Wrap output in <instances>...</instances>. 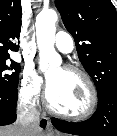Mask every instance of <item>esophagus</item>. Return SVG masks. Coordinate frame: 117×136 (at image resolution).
<instances>
[{
  "label": "esophagus",
  "instance_id": "34e87169",
  "mask_svg": "<svg viewBox=\"0 0 117 136\" xmlns=\"http://www.w3.org/2000/svg\"><path fill=\"white\" fill-rule=\"evenodd\" d=\"M46 133L48 136L56 135V131L54 130V128L49 120L47 122Z\"/></svg>",
  "mask_w": 117,
  "mask_h": 136
}]
</instances>
